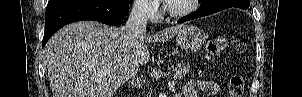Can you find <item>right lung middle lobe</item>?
I'll list each match as a JSON object with an SVG mask.
<instances>
[{
    "instance_id": "1",
    "label": "right lung middle lobe",
    "mask_w": 302,
    "mask_h": 97,
    "mask_svg": "<svg viewBox=\"0 0 302 97\" xmlns=\"http://www.w3.org/2000/svg\"><path fill=\"white\" fill-rule=\"evenodd\" d=\"M119 1L124 3H132L133 0H119Z\"/></svg>"
}]
</instances>
